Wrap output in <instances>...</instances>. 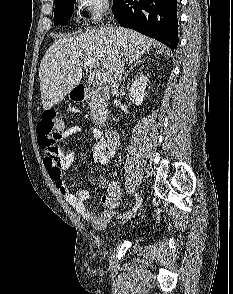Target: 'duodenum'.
I'll use <instances>...</instances> for the list:
<instances>
[{
    "label": "duodenum",
    "instance_id": "obj_1",
    "mask_svg": "<svg viewBox=\"0 0 233 294\" xmlns=\"http://www.w3.org/2000/svg\"><path fill=\"white\" fill-rule=\"evenodd\" d=\"M87 92V87L83 84L77 85L73 91L76 100H83L86 97ZM102 138L110 146L115 147L119 143L118 134L110 128H105L102 131Z\"/></svg>",
    "mask_w": 233,
    "mask_h": 294
}]
</instances>
